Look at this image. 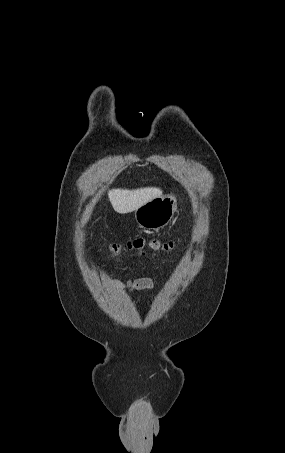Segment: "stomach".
Listing matches in <instances>:
<instances>
[{"instance_id":"1","label":"stomach","mask_w":285,"mask_h":453,"mask_svg":"<svg viewBox=\"0 0 285 453\" xmlns=\"http://www.w3.org/2000/svg\"><path fill=\"white\" fill-rule=\"evenodd\" d=\"M176 209V198L173 195H165L156 197L137 208L134 216L141 228L159 230L168 225Z\"/></svg>"}]
</instances>
